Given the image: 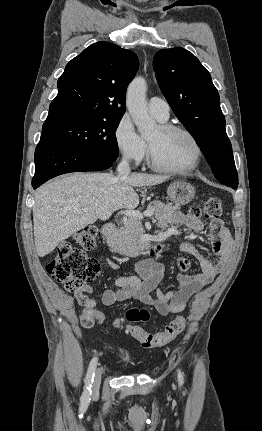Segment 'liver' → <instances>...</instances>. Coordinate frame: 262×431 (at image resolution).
<instances>
[{
	"label": "liver",
	"mask_w": 262,
	"mask_h": 431,
	"mask_svg": "<svg viewBox=\"0 0 262 431\" xmlns=\"http://www.w3.org/2000/svg\"><path fill=\"white\" fill-rule=\"evenodd\" d=\"M167 176L132 173H74L44 184L35 192L34 240L37 254L44 257L77 231L107 220L119 209L139 204L133 187L163 183ZM87 208L85 211L84 209Z\"/></svg>",
	"instance_id": "obj_1"
}]
</instances>
